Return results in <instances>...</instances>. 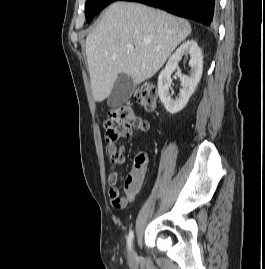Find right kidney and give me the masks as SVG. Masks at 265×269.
<instances>
[{
  "mask_svg": "<svg viewBox=\"0 0 265 269\" xmlns=\"http://www.w3.org/2000/svg\"><path fill=\"white\" fill-rule=\"evenodd\" d=\"M184 54H189L191 57L189 61L191 73L190 76L181 78L183 88L180 89L179 97L174 100L169 93L172 83L171 74L178 68V63ZM202 71V51L193 39L184 42L169 58L165 69L158 77V92L161 102L170 114H175L186 106L201 79Z\"/></svg>",
  "mask_w": 265,
  "mask_h": 269,
  "instance_id": "right-kidney-1",
  "label": "right kidney"
}]
</instances>
